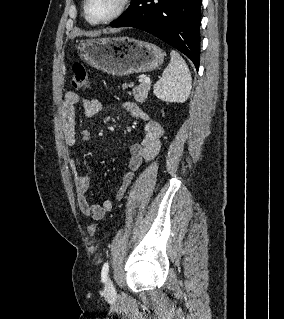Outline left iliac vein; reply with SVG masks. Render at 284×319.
<instances>
[{
  "label": "left iliac vein",
  "mask_w": 284,
  "mask_h": 319,
  "mask_svg": "<svg viewBox=\"0 0 284 319\" xmlns=\"http://www.w3.org/2000/svg\"><path fill=\"white\" fill-rule=\"evenodd\" d=\"M105 292H107L108 294H112L115 292L114 285L109 279L105 283Z\"/></svg>",
  "instance_id": "left-iliac-vein-1"
}]
</instances>
